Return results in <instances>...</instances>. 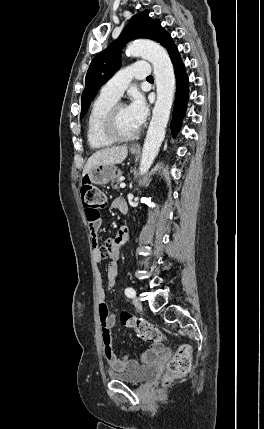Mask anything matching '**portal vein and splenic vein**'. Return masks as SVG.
Masks as SVG:
<instances>
[{"mask_svg": "<svg viewBox=\"0 0 264 429\" xmlns=\"http://www.w3.org/2000/svg\"><path fill=\"white\" fill-rule=\"evenodd\" d=\"M125 186H126V184H125L124 182H121V183H120V187H121V188H125Z\"/></svg>", "mask_w": 264, "mask_h": 429, "instance_id": "18ae733b", "label": "portal vein and splenic vein"}]
</instances>
